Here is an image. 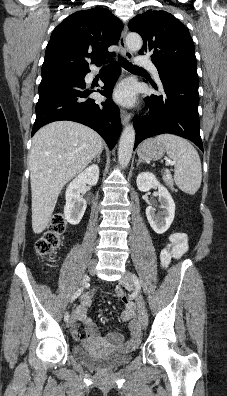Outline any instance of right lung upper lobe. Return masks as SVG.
Wrapping results in <instances>:
<instances>
[{"instance_id":"1","label":"right lung upper lobe","mask_w":227,"mask_h":396,"mask_svg":"<svg viewBox=\"0 0 227 396\" xmlns=\"http://www.w3.org/2000/svg\"><path fill=\"white\" fill-rule=\"evenodd\" d=\"M123 24L106 8H91L68 16L52 32L42 71L79 70L100 65L113 53L107 48L118 43Z\"/></svg>"}]
</instances>
